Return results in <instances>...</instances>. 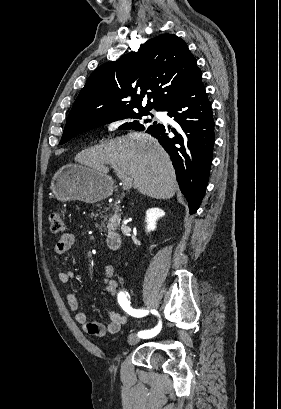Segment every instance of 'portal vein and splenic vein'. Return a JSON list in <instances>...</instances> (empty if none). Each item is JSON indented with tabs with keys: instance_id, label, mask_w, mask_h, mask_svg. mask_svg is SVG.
I'll use <instances>...</instances> for the list:
<instances>
[{
	"instance_id": "portal-vein-and-splenic-vein-1",
	"label": "portal vein and splenic vein",
	"mask_w": 281,
	"mask_h": 409,
	"mask_svg": "<svg viewBox=\"0 0 281 409\" xmlns=\"http://www.w3.org/2000/svg\"><path fill=\"white\" fill-rule=\"evenodd\" d=\"M116 170H118L117 176L121 178L124 190L130 191L131 189H133L135 185L133 178H131V176H128V174H126L124 170H120V168H116Z\"/></svg>"
}]
</instances>
